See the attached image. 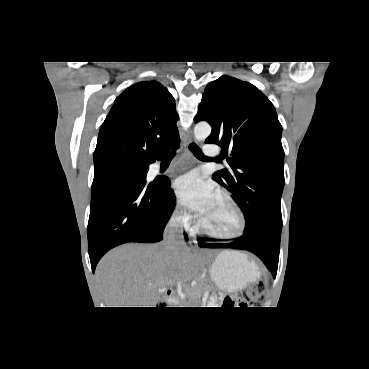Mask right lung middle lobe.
I'll return each instance as SVG.
<instances>
[{
    "label": "right lung middle lobe",
    "mask_w": 369,
    "mask_h": 369,
    "mask_svg": "<svg viewBox=\"0 0 369 369\" xmlns=\"http://www.w3.org/2000/svg\"><path fill=\"white\" fill-rule=\"evenodd\" d=\"M147 165L125 161H112L94 165V180L92 183V193L100 189L107 182L121 174L136 172L146 183Z\"/></svg>",
    "instance_id": "1"
}]
</instances>
